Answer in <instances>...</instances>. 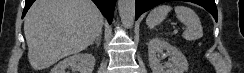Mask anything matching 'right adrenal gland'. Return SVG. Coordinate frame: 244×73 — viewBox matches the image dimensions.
Segmentation results:
<instances>
[{
    "label": "right adrenal gland",
    "mask_w": 244,
    "mask_h": 73,
    "mask_svg": "<svg viewBox=\"0 0 244 73\" xmlns=\"http://www.w3.org/2000/svg\"><path fill=\"white\" fill-rule=\"evenodd\" d=\"M101 34L96 38V40L91 44V45H93L94 43H96L97 44V46H99L100 45V43H101Z\"/></svg>",
    "instance_id": "2a0ac1e0"
}]
</instances>
